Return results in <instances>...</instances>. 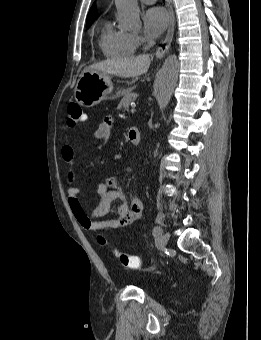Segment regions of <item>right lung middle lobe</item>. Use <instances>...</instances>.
Wrapping results in <instances>:
<instances>
[{"instance_id": "dd1d6c3e", "label": "right lung middle lobe", "mask_w": 261, "mask_h": 340, "mask_svg": "<svg viewBox=\"0 0 261 340\" xmlns=\"http://www.w3.org/2000/svg\"><path fill=\"white\" fill-rule=\"evenodd\" d=\"M92 22H93V21H91V22H87V26H86V27H87V28H89V27H90V25L92 24Z\"/></svg>"}]
</instances>
